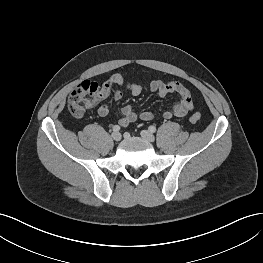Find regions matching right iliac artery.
I'll list each match as a JSON object with an SVG mask.
<instances>
[{
    "mask_svg": "<svg viewBox=\"0 0 263 263\" xmlns=\"http://www.w3.org/2000/svg\"><path fill=\"white\" fill-rule=\"evenodd\" d=\"M119 130H120V126L119 125L113 126V131L114 132H118Z\"/></svg>",
    "mask_w": 263,
    "mask_h": 263,
    "instance_id": "1",
    "label": "right iliac artery"
}]
</instances>
